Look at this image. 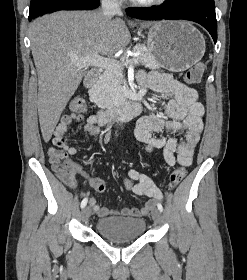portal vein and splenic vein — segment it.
Here are the masks:
<instances>
[{
  "label": "portal vein and splenic vein",
  "instance_id": "obj_1",
  "mask_svg": "<svg viewBox=\"0 0 247 280\" xmlns=\"http://www.w3.org/2000/svg\"><path fill=\"white\" fill-rule=\"evenodd\" d=\"M74 63H75V65L80 66V67L95 66V67H100V68H104V69L117 70V69L123 67L124 65L127 66L129 63L137 64L138 60L130 59L128 62L122 64V63H119L118 61L108 59L105 57H101L98 55H90V56L78 58L74 61Z\"/></svg>",
  "mask_w": 247,
  "mask_h": 280
}]
</instances>
